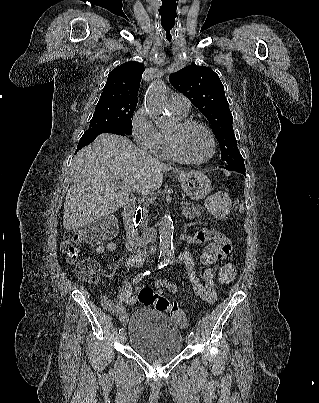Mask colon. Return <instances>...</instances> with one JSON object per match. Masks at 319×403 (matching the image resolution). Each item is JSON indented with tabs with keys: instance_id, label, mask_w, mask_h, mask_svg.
Wrapping results in <instances>:
<instances>
[{
	"instance_id": "1",
	"label": "colon",
	"mask_w": 319,
	"mask_h": 403,
	"mask_svg": "<svg viewBox=\"0 0 319 403\" xmlns=\"http://www.w3.org/2000/svg\"><path fill=\"white\" fill-rule=\"evenodd\" d=\"M207 207L211 214L217 218H225L229 208V198L225 193L219 192L207 199ZM117 230V221L112 216H106L97 223L84 228L79 232H69L65 235L62 249L69 260L75 264L77 275L87 281L95 282L99 277L100 267L96 260L84 257L82 244L88 243L96 247L97 251L103 250L101 244L104 239L112 238ZM114 240H109L105 245L106 251H113ZM236 269L233 265H224L219 272V280L228 284L234 280ZM138 300L145 307H153L158 311L165 312L171 316L182 329L189 327V321L183 310L173 302L165 298L161 293L152 288H142L138 292Z\"/></svg>"
}]
</instances>
